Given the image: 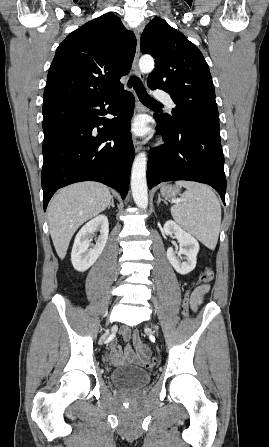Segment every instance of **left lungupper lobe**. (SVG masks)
<instances>
[{
  "mask_svg": "<svg viewBox=\"0 0 269 447\" xmlns=\"http://www.w3.org/2000/svg\"><path fill=\"white\" fill-rule=\"evenodd\" d=\"M140 46L156 63L147 85L168 92L176 104L172 115L163 117L219 131L214 85L200 50L161 18H154L145 27Z\"/></svg>",
  "mask_w": 269,
  "mask_h": 447,
  "instance_id": "left-lung-upper-lobe-1",
  "label": "left lung upper lobe"
}]
</instances>
